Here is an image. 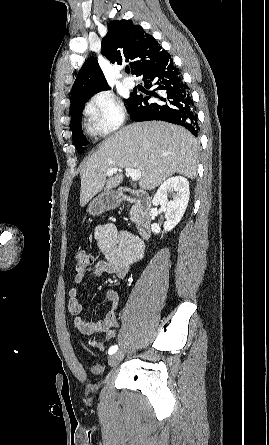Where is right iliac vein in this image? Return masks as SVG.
<instances>
[{"instance_id": "63e3f726", "label": "right iliac vein", "mask_w": 269, "mask_h": 445, "mask_svg": "<svg viewBox=\"0 0 269 445\" xmlns=\"http://www.w3.org/2000/svg\"><path fill=\"white\" fill-rule=\"evenodd\" d=\"M123 356H124L123 352H117L111 355L108 361L109 365L111 367L116 366L122 360Z\"/></svg>"}]
</instances>
